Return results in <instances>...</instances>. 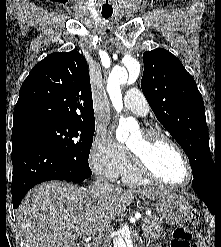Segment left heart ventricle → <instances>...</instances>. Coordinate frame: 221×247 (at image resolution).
Returning a JSON list of instances; mask_svg holds the SVG:
<instances>
[{
  "mask_svg": "<svg viewBox=\"0 0 221 247\" xmlns=\"http://www.w3.org/2000/svg\"><path fill=\"white\" fill-rule=\"evenodd\" d=\"M127 146L140 151L144 149V138L141 132L134 133L127 142ZM153 169L163 180L170 183H184L187 170L180 154L169 145H159L150 151Z\"/></svg>",
  "mask_w": 221,
  "mask_h": 247,
  "instance_id": "b2bd125f",
  "label": "left heart ventricle"
}]
</instances>
